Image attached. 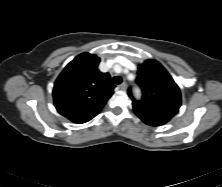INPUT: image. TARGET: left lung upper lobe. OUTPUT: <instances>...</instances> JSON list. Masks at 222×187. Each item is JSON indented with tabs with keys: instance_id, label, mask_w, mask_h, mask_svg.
<instances>
[{
	"instance_id": "left-lung-upper-lobe-1",
	"label": "left lung upper lobe",
	"mask_w": 222,
	"mask_h": 187,
	"mask_svg": "<svg viewBox=\"0 0 222 187\" xmlns=\"http://www.w3.org/2000/svg\"><path fill=\"white\" fill-rule=\"evenodd\" d=\"M136 81L143 95L140 101H136L129 89L133 106L151 112L178 113L181 105L180 89L158 61L149 59L139 65Z\"/></svg>"
}]
</instances>
